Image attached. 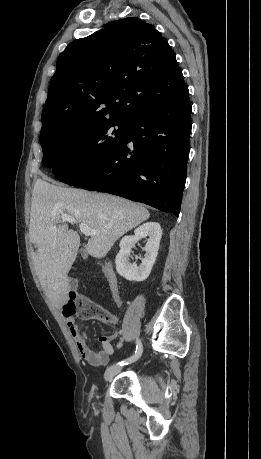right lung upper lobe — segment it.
<instances>
[{
  "label": "right lung upper lobe",
  "instance_id": "right-lung-upper-lobe-1",
  "mask_svg": "<svg viewBox=\"0 0 261 459\" xmlns=\"http://www.w3.org/2000/svg\"><path fill=\"white\" fill-rule=\"evenodd\" d=\"M186 86L167 40L136 17L71 42L60 54L41 133L127 120L174 99Z\"/></svg>",
  "mask_w": 261,
  "mask_h": 459
}]
</instances>
